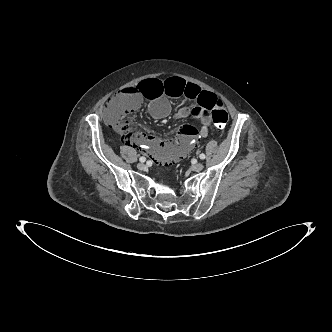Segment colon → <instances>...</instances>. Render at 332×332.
Listing matches in <instances>:
<instances>
[{
	"instance_id": "1",
	"label": "colon",
	"mask_w": 332,
	"mask_h": 332,
	"mask_svg": "<svg viewBox=\"0 0 332 332\" xmlns=\"http://www.w3.org/2000/svg\"><path fill=\"white\" fill-rule=\"evenodd\" d=\"M141 101L142 99L139 97L136 88H127L121 91L107 103L105 108L106 121L117 128L122 136H125L127 127L124 120L140 107ZM210 116L218 128H224L229 120L227 109L218 99L214 101L210 108Z\"/></svg>"
}]
</instances>
